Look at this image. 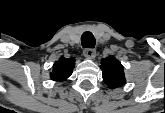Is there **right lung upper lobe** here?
<instances>
[{"label": "right lung upper lobe", "mask_w": 165, "mask_h": 113, "mask_svg": "<svg viewBox=\"0 0 165 113\" xmlns=\"http://www.w3.org/2000/svg\"><path fill=\"white\" fill-rule=\"evenodd\" d=\"M75 60L72 58L61 57L53 65V72L50 73V77L54 81H63L67 79L71 74L74 68Z\"/></svg>", "instance_id": "1"}]
</instances>
